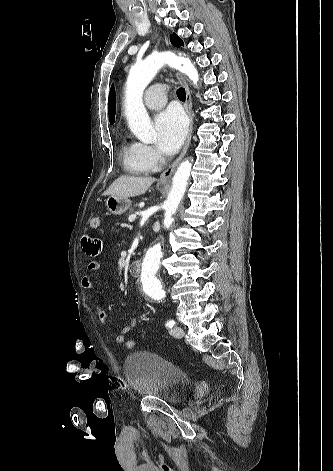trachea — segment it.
<instances>
[{
	"mask_svg": "<svg viewBox=\"0 0 333 471\" xmlns=\"http://www.w3.org/2000/svg\"><path fill=\"white\" fill-rule=\"evenodd\" d=\"M177 96L181 101H185L186 99V93L184 88H179L177 90Z\"/></svg>",
	"mask_w": 333,
	"mask_h": 471,
	"instance_id": "1",
	"label": "trachea"
}]
</instances>
